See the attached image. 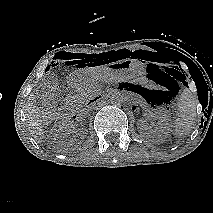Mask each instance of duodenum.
I'll return each mask as SVG.
<instances>
[{
	"instance_id": "410a0bca",
	"label": "duodenum",
	"mask_w": 213,
	"mask_h": 213,
	"mask_svg": "<svg viewBox=\"0 0 213 213\" xmlns=\"http://www.w3.org/2000/svg\"><path fill=\"white\" fill-rule=\"evenodd\" d=\"M104 96L103 95H97L94 96L91 101L89 102V105H93L96 104L98 102H100L101 100H103ZM83 114V110H80L78 112L75 113L74 118H79L81 115Z\"/></svg>"
}]
</instances>
